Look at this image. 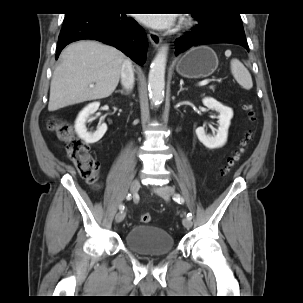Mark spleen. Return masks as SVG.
Here are the masks:
<instances>
[{"mask_svg": "<svg viewBox=\"0 0 303 303\" xmlns=\"http://www.w3.org/2000/svg\"><path fill=\"white\" fill-rule=\"evenodd\" d=\"M231 72L241 87L250 90L253 87L252 77L248 69L238 60H231Z\"/></svg>", "mask_w": 303, "mask_h": 303, "instance_id": "1", "label": "spleen"}]
</instances>
